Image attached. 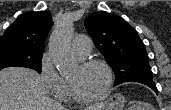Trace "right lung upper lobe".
Returning <instances> with one entry per match:
<instances>
[{
    "label": "right lung upper lobe",
    "instance_id": "right-lung-upper-lobe-1",
    "mask_svg": "<svg viewBox=\"0 0 171 110\" xmlns=\"http://www.w3.org/2000/svg\"><path fill=\"white\" fill-rule=\"evenodd\" d=\"M51 26V13L48 11L22 14L8 27L0 38V44H14L34 52H43Z\"/></svg>",
    "mask_w": 171,
    "mask_h": 110
}]
</instances>
